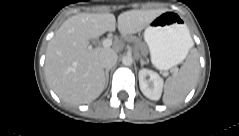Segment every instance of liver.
<instances>
[{"label":"liver","mask_w":239,"mask_h":136,"mask_svg":"<svg viewBox=\"0 0 239 136\" xmlns=\"http://www.w3.org/2000/svg\"><path fill=\"white\" fill-rule=\"evenodd\" d=\"M164 10H130L118 16V30L123 35L142 31ZM116 18L111 13H80L69 17L50 40L45 60L46 80L61 100L85 104L103 92L105 73L100 54L110 48L92 49L89 40L115 31ZM113 51V50H112Z\"/></svg>","instance_id":"liver-1"}]
</instances>
